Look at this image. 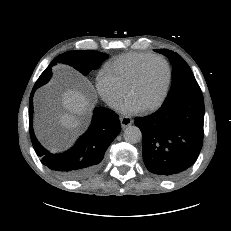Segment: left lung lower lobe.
I'll return each mask as SVG.
<instances>
[{
    "label": "left lung lower lobe",
    "mask_w": 231,
    "mask_h": 231,
    "mask_svg": "<svg viewBox=\"0 0 231 231\" xmlns=\"http://www.w3.org/2000/svg\"><path fill=\"white\" fill-rule=\"evenodd\" d=\"M203 124L202 92L186 94L147 117L135 118L143 135L146 168L163 178L185 172L202 148Z\"/></svg>",
    "instance_id": "1"
}]
</instances>
